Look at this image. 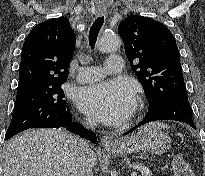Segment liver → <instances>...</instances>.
I'll return each mask as SVG.
<instances>
[{"instance_id": "1", "label": "liver", "mask_w": 205, "mask_h": 176, "mask_svg": "<svg viewBox=\"0 0 205 176\" xmlns=\"http://www.w3.org/2000/svg\"><path fill=\"white\" fill-rule=\"evenodd\" d=\"M74 139L60 129L24 131L6 145L3 176H76ZM89 159L94 167V151Z\"/></svg>"}]
</instances>
